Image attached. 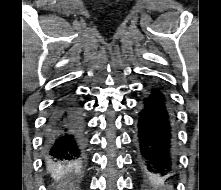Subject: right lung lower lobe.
I'll return each instance as SVG.
<instances>
[{
    "label": "right lung lower lobe",
    "mask_w": 221,
    "mask_h": 190,
    "mask_svg": "<svg viewBox=\"0 0 221 190\" xmlns=\"http://www.w3.org/2000/svg\"><path fill=\"white\" fill-rule=\"evenodd\" d=\"M45 159L56 167L70 168L81 164L85 138L77 103L67 93L53 104L46 124Z\"/></svg>",
    "instance_id": "right-lung-lower-lobe-1"
}]
</instances>
